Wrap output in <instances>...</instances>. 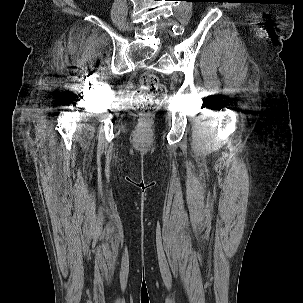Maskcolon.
Returning <instances> with one entry per match:
<instances>
[{
  "mask_svg": "<svg viewBox=\"0 0 303 303\" xmlns=\"http://www.w3.org/2000/svg\"><path fill=\"white\" fill-rule=\"evenodd\" d=\"M167 96L166 87L152 73L142 76L135 92V101L140 111L149 113L162 104Z\"/></svg>",
  "mask_w": 303,
  "mask_h": 303,
  "instance_id": "5ec220e1",
  "label": "colon"
}]
</instances>
